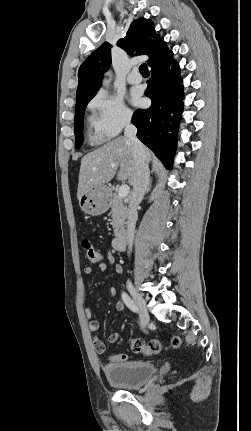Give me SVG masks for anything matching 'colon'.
Segmentation results:
<instances>
[{
  "label": "colon",
  "mask_w": 251,
  "mask_h": 431,
  "mask_svg": "<svg viewBox=\"0 0 251 431\" xmlns=\"http://www.w3.org/2000/svg\"><path fill=\"white\" fill-rule=\"evenodd\" d=\"M82 248L84 250L86 258L91 263H100L101 255L92 245V243L88 239H83L81 242ZM185 346L182 339L178 336H174L169 345H163L159 340L151 339L148 341H144L142 339H132L130 341L131 350L135 353H142L148 356L158 355L161 352L168 349H179ZM107 360L109 362H113L115 365H121L123 362H127L128 355L127 353H109L107 355Z\"/></svg>",
  "instance_id": "colon-1"
}]
</instances>
